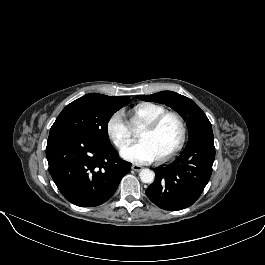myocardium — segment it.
<instances>
[{
	"mask_svg": "<svg viewBox=\"0 0 265 265\" xmlns=\"http://www.w3.org/2000/svg\"><path fill=\"white\" fill-rule=\"evenodd\" d=\"M169 117H174L179 122L181 127V136L177 144L172 149H170L168 152L164 153L163 155L157 157L158 161L167 160L172 156H174L175 154H177L183 148L187 140V135H188L187 124L183 116L178 112L167 111L163 113L162 115L158 116L157 118H155L154 120L143 126V130L155 131L163 123V121Z\"/></svg>",
	"mask_w": 265,
	"mask_h": 265,
	"instance_id": "f54148a6",
	"label": "myocardium"
}]
</instances>
